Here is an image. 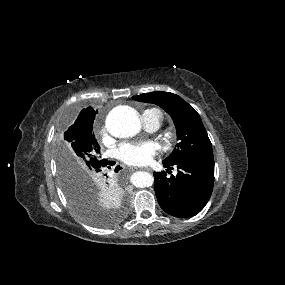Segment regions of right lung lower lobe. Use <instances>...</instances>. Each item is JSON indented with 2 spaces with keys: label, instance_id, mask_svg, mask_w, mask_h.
Here are the masks:
<instances>
[{
  "label": "right lung lower lobe",
  "instance_id": "1",
  "mask_svg": "<svg viewBox=\"0 0 285 285\" xmlns=\"http://www.w3.org/2000/svg\"><path fill=\"white\" fill-rule=\"evenodd\" d=\"M114 164V162H110L106 159L102 160V168H110V166H112ZM120 170V167H116L115 171L118 172Z\"/></svg>",
  "mask_w": 285,
  "mask_h": 285
}]
</instances>
